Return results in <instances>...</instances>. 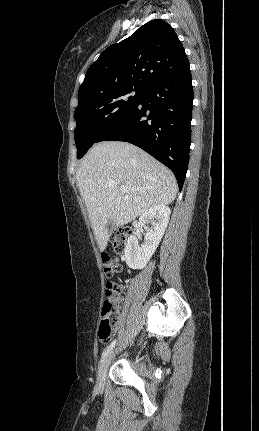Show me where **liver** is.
<instances>
[{
	"label": "liver",
	"mask_w": 259,
	"mask_h": 431,
	"mask_svg": "<svg viewBox=\"0 0 259 431\" xmlns=\"http://www.w3.org/2000/svg\"><path fill=\"white\" fill-rule=\"evenodd\" d=\"M100 251L109 240L107 223L123 226L157 205L172 203L177 195L174 174L139 147L121 141L95 144L77 172ZM129 191L122 193L120 186Z\"/></svg>",
	"instance_id": "6515ba94"
}]
</instances>
